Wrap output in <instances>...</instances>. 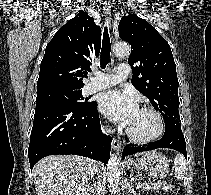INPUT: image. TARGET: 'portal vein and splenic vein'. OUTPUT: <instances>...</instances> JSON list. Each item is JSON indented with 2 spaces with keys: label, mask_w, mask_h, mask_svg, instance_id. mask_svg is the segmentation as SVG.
<instances>
[{
  "label": "portal vein and splenic vein",
  "mask_w": 211,
  "mask_h": 195,
  "mask_svg": "<svg viewBox=\"0 0 211 195\" xmlns=\"http://www.w3.org/2000/svg\"><path fill=\"white\" fill-rule=\"evenodd\" d=\"M144 187H145V184H138L137 185V189L144 188Z\"/></svg>",
  "instance_id": "obj_1"
}]
</instances>
